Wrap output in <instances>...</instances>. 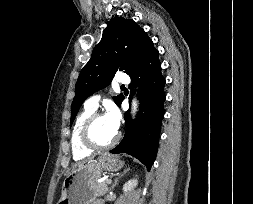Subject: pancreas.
<instances>
[{
	"mask_svg": "<svg viewBox=\"0 0 253 204\" xmlns=\"http://www.w3.org/2000/svg\"><path fill=\"white\" fill-rule=\"evenodd\" d=\"M94 192L98 195V196H103L107 193L108 191V184L106 183V181L101 182V183H96L93 187Z\"/></svg>",
	"mask_w": 253,
	"mask_h": 204,
	"instance_id": "1",
	"label": "pancreas"
}]
</instances>
